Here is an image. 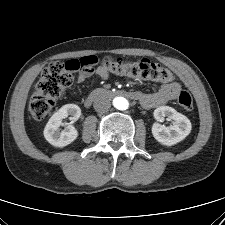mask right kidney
<instances>
[{"mask_svg": "<svg viewBox=\"0 0 225 225\" xmlns=\"http://www.w3.org/2000/svg\"><path fill=\"white\" fill-rule=\"evenodd\" d=\"M81 109L75 104H67L55 112L44 128L45 139L53 146L65 147L71 144L78 137V131L72 125L79 119ZM69 118L71 123L68 124L63 130L60 129L64 126L63 119Z\"/></svg>", "mask_w": 225, "mask_h": 225, "instance_id": "ca27d5eb", "label": "right kidney"}]
</instances>
